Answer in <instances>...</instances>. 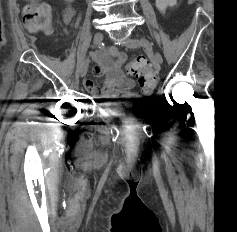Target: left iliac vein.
<instances>
[{"mask_svg": "<svg viewBox=\"0 0 237 232\" xmlns=\"http://www.w3.org/2000/svg\"><path fill=\"white\" fill-rule=\"evenodd\" d=\"M140 45H141V42L137 39H128L125 43V46L128 47V48H131V49L139 48ZM155 59H156L158 64L163 63L162 55L158 52L155 55Z\"/></svg>", "mask_w": 237, "mask_h": 232, "instance_id": "obj_1", "label": "left iliac vein"}]
</instances>
